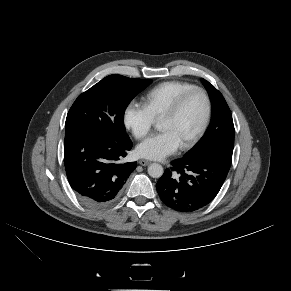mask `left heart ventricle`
Wrapping results in <instances>:
<instances>
[{
  "label": "left heart ventricle",
  "instance_id": "b2bd125f",
  "mask_svg": "<svg viewBox=\"0 0 291 291\" xmlns=\"http://www.w3.org/2000/svg\"><path fill=\"white\" fill-rule=\"evenodd\" d=\"M204 112V99L202 95L195 93L185 102L176 116L161 119L160 129L173 132L182 145L197 131L203 120Z\"/></svg>",
  "mask_w": 291,
  "mask_h": 291
}]
</instances>
